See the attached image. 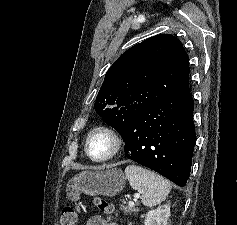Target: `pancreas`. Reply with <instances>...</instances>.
I'll list each match as a JSON object with an SVG mask.
<instances>
[{
    "label": "pancreas",
    "instance_id": "1",
    "mask_svg": "<svg viewBox=\"0 0 237 225\" xmlns=\"http://www.w3.org/2000/svg\"><path fill=\"white\" fill-rule=\"evenodd\" d=\"M125 214H131L133 212H136L137 209L136 208H133V207H126V206H123L121 205V208H120Z\"/></svg>",
    "mask_w": 237,
    "mask_h": 225
}]
</instances>
